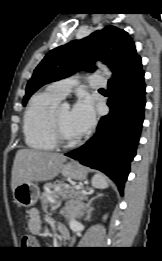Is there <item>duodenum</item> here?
<instances>
[{
    "label": "duodenum",
    "mask_w": 162,
    "mask_h": 261,
    "mask_svg": "<svg viewBox=\"0 0 162 261\" xmlns=\"http://www.w3.org/2000/svg\"><path fill=\"white\" fill-rule=\"evenodd\" d=\"M59 235H60V237H62V238L67 237V235H68L67 229L64 228V227H61V228H60V231H59Z\"/></svg>",
    "instance_id": "obj_1"
}]
</instances>
